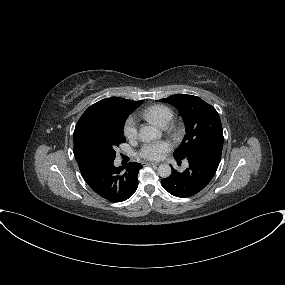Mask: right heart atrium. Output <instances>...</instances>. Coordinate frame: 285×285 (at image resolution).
<instances>
[{
	"instance_id": "right-heart-atrium-1",
	"label": "right heart atrium",
	"mask_w": 285,
	"mask_h": 285,
	"mask_svg": "<svg viewBox=\"0 0 285 285\" xmlns=\"http://www.w3.org/2000/svg\"><path fill=\"white\" fill-rule=\"evenodd\" d=\"M123 134L128 140H135L138 135V120L134 115H129L123 124Z\"/></svg>"
}]
</instances>
